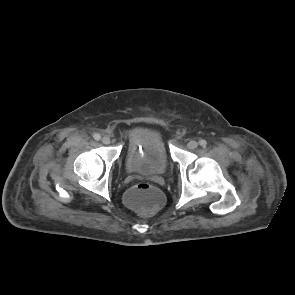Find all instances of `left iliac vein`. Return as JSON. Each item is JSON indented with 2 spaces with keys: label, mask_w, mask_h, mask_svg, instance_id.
Wrapping results in <instances>:
<instances>
[{
  "label": "left iliac vein",
  "mask_w": 295,
  "mask_h": 295,
  "mask_svg": "<svg viewBox=\"0 0 295 295\" xmlns=\"http://www.w3.org/2000/svg\"><path fill=\"white\" fill-rule=\"evenodd\" d=\"M187 147L189 149H195L198 147V142L195 141V140H190L188 143H187Z\"/></svg>",
  "instance_id": "1"
}]
</instances>
